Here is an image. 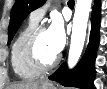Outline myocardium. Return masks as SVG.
<instances>
[{
	"label": "myocardium",
	"mask_w": 107,
	"mask_h": 89,
	"mask_svg": "<svg viewBox=\"0 0 107 89\" xmlns=\"http://www.w3.org/2000/svg\"><path fill=\"white\" fill-rule=\"evenodd\" d=\"M47 31L43 26H38L30 35L25 46V61L26 64L34 71L39 73L47 72L55 68L61 60L58 54L51 63H44L38 56L37 43L40 35Z\"/></svg>",
	"instance_id": "obj_1"
}]
</instances>
